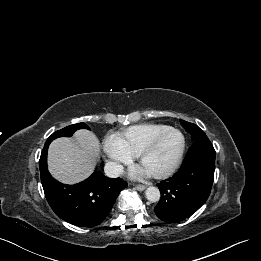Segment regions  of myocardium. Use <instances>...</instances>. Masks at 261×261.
I'll return each mask as SVG.
<instances>
[{
	"instance_id": "obj_1",
	"label": "myocardium",
	"mask_w": 261,
	"mask_h": 261,
	"mask_svg": "<svg viewBox=\"0 0 261 261\" xmlns=\"http://www.w3.org/2000/svg\"><path fill=\"white\" fill-rule=\"evenodd\" d=\"M167 133H175L180 137V146L178 149V152L172 161V163L163 171L157 172V173H152V177L156 179H163L167 178L170 175H172L176 169L179 167L184 152H185V147H186V141L184 135L178 130L173 127H169L161 132H159L157 135H155L149 142L148 144L142 149V151L138 154V162L141 165L144 159L154 150L158 142L161 140V138L166 135Z\"/></svg>"
}]
</instances>
